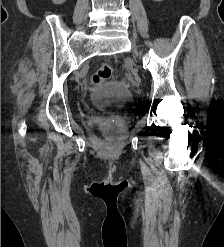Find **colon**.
Listing matches in <instances>:
<instances>
[{
	"label": "colon",
	"mask_w": 224,
	"mask_h": 247,
	"mask_svg": "<svg viewBox=\"0 0 224 247\" xmlns=\"http://www.w3.org/2000/svg\"><path fill=\"white\" fill-rule=\"evenodd\" d=\"M112 75V68L109 64L103 63L101 64L93 74L92 80L95 84H103L107 83ZM102 129L107 131L109 127L107 125H103Z\"/></svg>",
	"instance_id": "5ec220e1"
}]
</instances>
